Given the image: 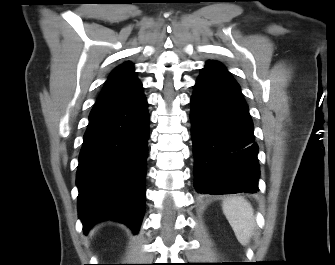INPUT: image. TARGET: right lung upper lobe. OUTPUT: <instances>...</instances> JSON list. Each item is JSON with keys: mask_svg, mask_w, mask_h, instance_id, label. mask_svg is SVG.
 <instances>
[{"mask_svg": "<svg viewBox=\"0 0 335 265\" xmlns=\"http://www.w3.org/2000/svg\"><path fill=\"white\" fill-rule=\"evenodd\" d=\"M141 91L133 64L125 62L112 71L96 103L125 99Z\"/></svg>", "mask_w": 335, "mask_h": 265, "instance_id": "obj_1", "label": "right lung upper lobe"}]
</instances>
